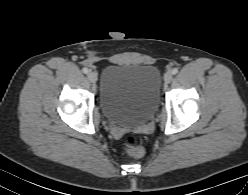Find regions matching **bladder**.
<instances>
[{
    "mask_svg": "<svg viewBox=\"0 0 248 195\" xmlns=\"http://www.w3.org/2000/svg\"><path fill=\"white\" fill-rule=\"evenodd\" d=\"M161 96V75L153 65L107 67L100 77L99 105L117 126L137 128L154 114Z\"/></svg>",
    "mask_w": 248,
    "mask_h": 195,
    "instance_id": "obj_1",
    "label": "bladder"
}]
</instances>
